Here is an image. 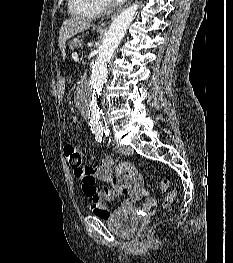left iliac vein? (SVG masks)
<instances>
[{
	"mask_svg": "<svg viewBox=\"0 0 233 263\" xmlns=\"http://www.w3.org/2000/svg\"><path fill=\"white\" fill-rule=\"evenodd\" d=\"M118 151L125 156H130L133 154V149L130 146H125V145L119 146Z\"/></svg>",
	"mask_w": 233,
	"mask_h": 263,
	"instance_id": "4c4485c4",
	"label": "left iliac vein"
}]
</instances>
